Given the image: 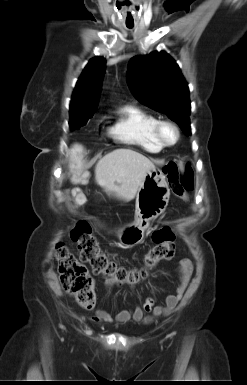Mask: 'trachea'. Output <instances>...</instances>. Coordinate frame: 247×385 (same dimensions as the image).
<instances>
[{
  "instance_id": "3493384b",
  "label": "trachea",
  "mask_w": 247,
  "mask_h": 385,
  "mask_svg": "<svg viewBox=\"0 0 247 385\" xmlns=\"http://www.w3.org/2000/svg\"><path fill=\"white\" fill-rule=\"evenodd\" d=\"M133 26H128V28H132Z\"/></svg>"
}]
</instances>
